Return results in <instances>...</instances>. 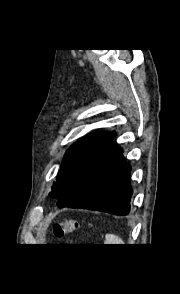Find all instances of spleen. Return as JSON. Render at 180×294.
Segmentation results:
<instances>
[{
	"instance_id": "3e777b00",
	"label": "spleen",
	"mask_w": 180,
	"mask_h": 294,
	"mask_svg": "<svg viewBox=\"0 0 180 294\" xmlns=\"http://www.w3.org/2000/svg\"><path fill=\"white\" fill-rule=\"evenodd\" d=\"M105 238H106V244H124L122 239L112 234H107Z\"/></svg>"
}]
</instances>
